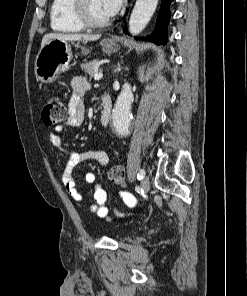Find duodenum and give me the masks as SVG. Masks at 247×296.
Here are the masks:
<instances>
[{
	"mask_svg": "<svg viewBox=\"0 0 247 296\" xmlns=\"http://www.w3.org/2000/svg\"><path fill=\"white\" fill-rule=\"evenodd\" d=\"M101 104H102V111H101V123L104 127H108L110 123L111 113H112V101L108 94L101 95Z\"/></svg>",
	"mask_w": 247,
	"mask_h": 296,
	"instance_id": "obj_1",
	"label": "duodenum"
}]
</instances>
